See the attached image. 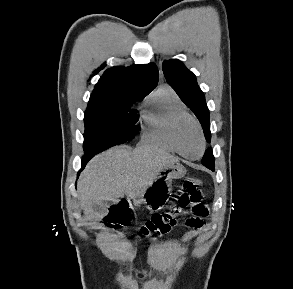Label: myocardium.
<instances>
[{
  "label": "myocardium",
  "mask_w": 293,
  "mask_h": 289,
  "mask_svg": "<svg viewBox=\"0 0 293 289\" xmlns=\"http://www.w3.org/2000/svg\"><path fill=\"white\" fill-rule=\"evenodd\" d=\"M193 122L194 125L196 126L199 135H200V139H201V151L200 154L198 156H189L187 155L181 148L180 146V142H179V132L180 129L182 127L183 124L187 123V122ZM170 139L171 142L176 150V152L181 155L182 157L186 158V159H190V160H196L199 159L203 156L205 149H206V140H205V135L202 129L201 124L199 123V121L191 114L186 113V114H180L178 115L172 122V126H171V132H170Z\"/></svg>",
  "instance_id": "myocardium-1"
}]
</instances>
